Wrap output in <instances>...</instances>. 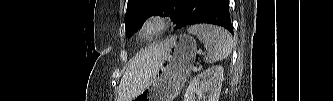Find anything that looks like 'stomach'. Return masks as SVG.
Instances as JSON below:
<instances>
[{"mask_svg": "<svg viewBox=\"0 0 333 101\" xmlns=\"http://www.w3.org/2000/svg\"><path fill=\"white\" fill-rule=\"evenodd\" d=\"M166 44L157 74L133 101H173L181 92L195 62L196 40L183 34L167 39Z\"/></svg>", "mask_w": 333, "mask_h": 101, "instance_id": "0dacf381", "label": "stomach"}]
</instances>
